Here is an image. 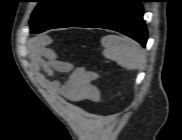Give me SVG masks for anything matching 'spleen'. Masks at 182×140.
<instances>
[{
  "label": "spleen",
  "instance_id": "3e777b00",
  "mask_svg": "<svg viewBox=\"0 0 182 140\" xmlns=\"http://www.w3.org/2000/svg\"><path fill=\"white\" fill-rule=\"evenodd\" d=\"M106 58L116 61L118 65L130 70L143 68L146 56L140 45L124 36L106 35L101 39Z\"/></svg>",
  "mask_w": 182,
  "mask_h": 140
}]
</instances>
